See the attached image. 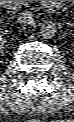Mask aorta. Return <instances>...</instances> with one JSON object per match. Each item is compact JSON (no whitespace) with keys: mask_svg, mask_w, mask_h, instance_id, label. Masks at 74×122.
Wrapping results in <instances>:
<instances>
[{"mask_svg":"<svg viewBox=\"0 0 74 122\" xmlns=\"http://www.w3.org/2000/svg\"><path fill=\"white\" fill-rule=\"evenodd\" d=\"M39 34L44 39H51L56 34V24L52 21H45L41 24Z\"/></svg>","mask_w":74,"mask_h":122,"instance_id":"1","label":"aorta"}]
</instances>
